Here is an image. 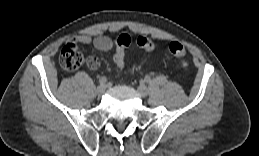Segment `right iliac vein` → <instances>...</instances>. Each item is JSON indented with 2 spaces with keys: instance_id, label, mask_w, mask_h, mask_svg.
<instances>
[{
  "instance_id": "right-iliac-vein-1",
  "label": "right iliac vein",
  "mask_w": 259,
  "mask_h": 156,
  "mask_svg": "<svg viewBox=\"0 0 259 156\" xmlns=\"http://www.w3.org/2000/svg\"><path fill=\"white\" fill-rule=\"evenodd\" d=\"M106 90V86L104 84H101L97 87L96 92L98 95H102Z\"/></svg>"
}]
</instances>
